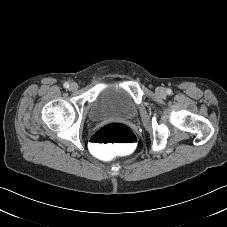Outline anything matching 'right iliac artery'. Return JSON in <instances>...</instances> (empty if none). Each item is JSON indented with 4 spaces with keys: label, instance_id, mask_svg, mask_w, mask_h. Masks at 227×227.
<instances>
[{
    "label": "right iliac artery",
    "instance_id": "82829eb1",
    "mask_svg": "<svg viewBox=\"0 0 227 227\" xmlns=\"http://www.w3.org/2000/svg\"><path fill=\"white\" fill-rule=\"evenodd\" d=\"M64 87H65V88H69V83H68V82H65V83H64Z\"/></svg>",
    "mask_w": 227,
    "mask_h": 227
}]
</instances>
